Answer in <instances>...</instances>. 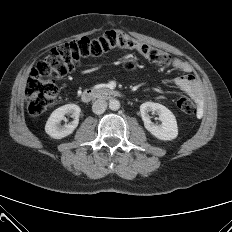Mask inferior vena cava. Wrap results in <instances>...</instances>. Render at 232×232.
Segmentation results:
<instances>
[{
  "label": "inferior vena cava",
  "mask_w": 232,
  "mask_h": 232,
  "mask_svg": "<svg viewBox=\"0 0 232 232\" xmlns=\"http://www.w3.org/2000/svg\"><path fill=\"white\" fill-rule=\"evenodd\" d=\"M106 108L107 102L101 99L96 100L92 105V111L97 115L104 113Z\"/></svg>",
  "instance_id": "obj_1"
}]
</instances>
